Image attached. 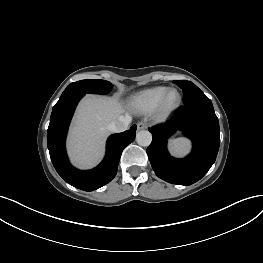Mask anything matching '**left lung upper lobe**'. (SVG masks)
<instances>
[{
    "mask_svg": "<svg viewBox=\"0 0 263 263\" xmlns=\"http://www.w3.org/2000/svg\"><path fill=\"white\" fill-rule=\"evenodd\" d=\"M174 83L183 90L185 103L205 96V94L190 81L175 80Z\"/></svg>",
    "mask_w": 263,
    "mask_h": 263,
    "instance_id": "left-lung-upper-lobe-1",
    "label": "left lung upper lobe"
}]
</instances>
